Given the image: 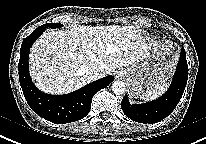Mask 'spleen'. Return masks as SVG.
I'll return each instance as SVG.
<instances>
[{
  "instance_id": "spleen-1",
  "label": "spleen",
  "mask_w": 206,
  "mask_h": 144,
  "mask_svg": "<svg viewBox=\"0 0 206 144\" xmlns=\"http://www.w3.org/2000/svg\"><path fill=\"white\" fill-rule=\"evenodd\" d=\"M167 87H168V85H167V83H165V84L159 86L157 89L148 91L141 98L144 101H152V100L156 99L159 95L163 94L166 91Z\"/></svg>"
}]
</instances>
